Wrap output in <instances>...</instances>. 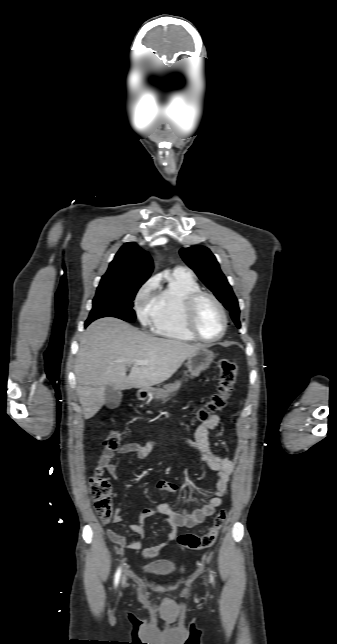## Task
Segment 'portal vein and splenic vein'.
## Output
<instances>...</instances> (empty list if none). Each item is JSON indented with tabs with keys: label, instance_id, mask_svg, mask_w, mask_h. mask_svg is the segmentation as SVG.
Returning <instances> with one entry per match:
<instances>
[{
	"label": "portal vein and splenic vein",
	"instance_id": "obj_1",
	"mask_svg": "<svg viewBox=\"0 0 337 644\" xmlns=\"http://www.w3.org/2000/svg\"><path fill=\"white\" fill-rule=\"evenodd\" d=\"M135 363L138 364V365H146L148 363V361L147 360H136Z\"/></svg>",
	"mask_w": 337,
	"mask_h": 644
}]
</instances>
